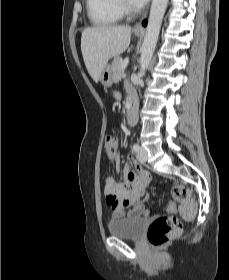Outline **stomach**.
<instances>
[{
	"instance_id": "stomach-1",
	"label": "stomach",
	"mask_w": 229,
	"mask_h": 280,
	"mask_svg": "<svg viewBox=\"0 0 229 280\" xmlns=\"http://www.w3.org/2000/svg\"><path fill=\"white\" fill-rule=\"evenodd\" d=\"M139 36V33H135ZM100 82L104 87H111L113 83L112 69L110 65H106L100 76Z\"/></svg>"
}]
</instances>
